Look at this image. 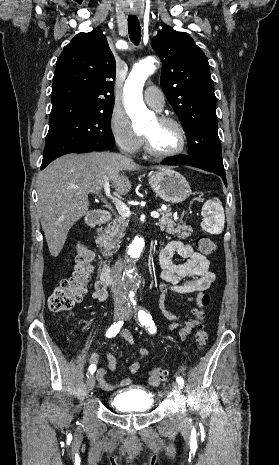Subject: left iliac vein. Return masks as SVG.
<instances>
[{"label":"left iliac vein","instance_id":"4c4485c4","mask_svg":"<svg viewBox=\"0 0 279 465\" xmlns=\"http://www.w3.org/2000/svg\"><path fill=\"white\" fill-rule=\"evenodd\" d=\"M131 311H125L123 317L125 318V320H129L131 318ZM180 386L176 383H173V388H172V394L174 396V398L178 401H180L181 399V392H180ZM180 421L185 423L186 422V416L183 412H181L180 414Z\"/></svg>","mask_w":279,"mask_h":465}]
</instances>
